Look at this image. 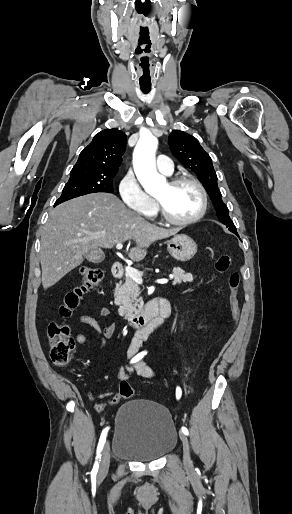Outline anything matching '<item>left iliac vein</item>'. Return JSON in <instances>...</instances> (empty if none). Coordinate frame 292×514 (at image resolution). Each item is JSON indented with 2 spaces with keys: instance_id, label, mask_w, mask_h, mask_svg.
I'll return each mask as SVG.
<instances>
[{
  "instance_id": "1",
  "label": "left iliac vein",
  "mask_w": 292,
  "mask_h": 514,
  "mask_svg": "<svg viewBox=\"0 0 292 514\" xmlns=\"http://www.w3.org/2000/svg\"><path fill=\"white\" fill-rule=\"evenodd\" d=\"M179 437H180V439L182 441V445H183V462H184L185 467L187 469H189L192 466V461H191V457H190L189 440H188V437L184 433H180Z\"/></svg>"
}]
</instances>
